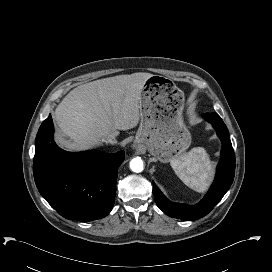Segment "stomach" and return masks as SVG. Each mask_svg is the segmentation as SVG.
Returning <instances> with one entry per match:
<instances>
[{
  "label": "stomach",
  "mask_w": 272,
  "mask_h": 272,
  "mask_svg": "<svg viewBox=\"0 0 272 272\" xmlns=\"http://www.w3.org/2000/svg\"><path fill=\"white\" fill-rule=\"evenodd\" d=\"M183 102V92L166 77L152 75L144 83L135 144L145 147L161 162H170L191 144L182 115Z\"/></svg>",
  "instance_id": "0dacf381"
}]
</instances>
